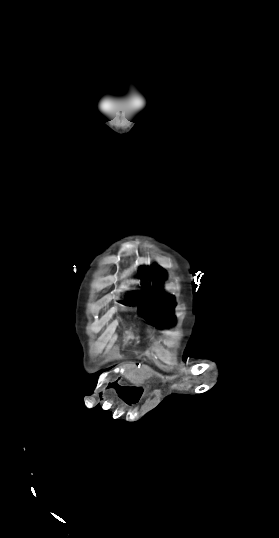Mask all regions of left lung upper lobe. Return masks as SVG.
<instances>
[{"label":"left lung upper lobe","instance_id":"obj_1","mask_svg":"<svg viewBox=\"0 0 279 538\" xmlns=\"http://www.w3.org/2000/svg\"><path fill=\"white\" fill-rule=\"evenodd\" d=\"M151 273L146 275L145 272H140L139 277L141 279H151L154 281L153 289L143 291L149 292V297L153 300L142 301L135 299V296L131 300L121 301L127 306H138V314L145 318L150 324L156 322L162 324L164 327H170L174 324L175 318L172 316L173 308L176 306L170 299V296L161 289L162 280L165 279L162 269L154 265L151 267Z\"/></svg>","mask_w":279,"mask_h":538}]
</instances>
